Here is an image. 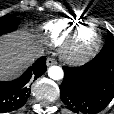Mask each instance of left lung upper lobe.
<instances>
[{"instance_id":"obj_1","label":"left lung upper lobe","mask_w":114,"mask_h":114,"mask_svg":"<svg viewBox=\"0 0 114 114\" xmlns=\"http://www.w3.org/2000/svg\"><path fill=\"white\" fill-rule=\"evenodd\" d=\"M101 51L114 53V36L109 31H107L106 43Z\"/></svg>"}]
</instances>
